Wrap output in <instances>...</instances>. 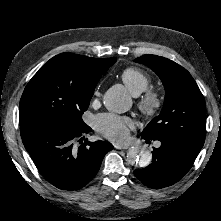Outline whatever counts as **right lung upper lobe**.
<instances>
[{
  "mask_svg": "<svg viewBox=\"0 0 221 221\" xmlns=\"http://www.w3.org/2000/svg\"><path fill=\"white\" fill-rule=\"evenodd\" d=\"M109 58L95 59L71 53L51 58L39 71H47L59 80L73 84L96 86ZM33 124L20 126V131Z\"/></svg>",
  "mask_w": 221,
  "mask_h": 221,
  "instance_id": "cb5924a9",
  "label": "right lung upper lobe"
}]
</instances>
